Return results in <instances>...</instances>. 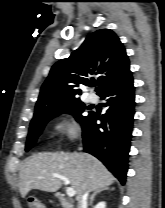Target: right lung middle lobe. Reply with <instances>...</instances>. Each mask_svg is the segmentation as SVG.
Wrapping results in <instances>:
<instances>
[{
	"label": "right lung middle lobe",
	"instance_id": "dd1d6c3e",
	"mask_svg": "<svg viewBox=\"0 0 165 208\" xmlns=\"http://www.w3.org/2000/svg\"><path fill=\"white\" fill-rule=\"evenodd\" d=\"M85 109V105L79 99L53 104L35 112L34 117L30 123L25 150L27 151L35 145L36 140L45 127L46 123L61 113H69L74 115L76 120L82 125L84 120L88 117L81 115Z\"/></svg>",
	"mask_w": 165,
	"mask_h": 208
}]
</instances>
